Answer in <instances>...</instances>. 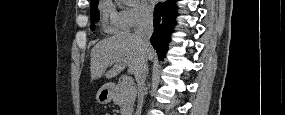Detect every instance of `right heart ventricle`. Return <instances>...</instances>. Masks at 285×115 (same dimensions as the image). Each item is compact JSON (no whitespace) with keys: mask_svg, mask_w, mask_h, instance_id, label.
I'll use <instances>...</instances> for the list:
<instances>
[{"mask_svg":"<svg viewBox=\"0 0 285 115\" xmlns=\"http://www.w3.org/2000/svg\"><path fill=\"white\" fill-rule=\"evenodd\" d=\"M102 28L107 33H114L123 29L120 12H117L112 3L106 2L102 6Z\"/></svg>","mask_w":285,"mask_h":115,"instance_id":"right-heart-ventricle-1","label":"right heart ventricle"}]
</instances>
